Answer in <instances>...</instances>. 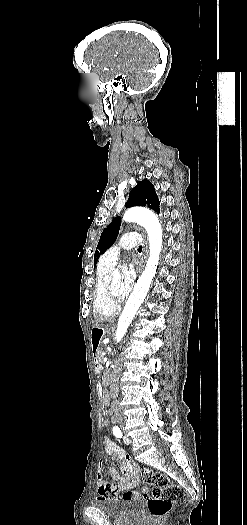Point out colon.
I'll list each match as a JSON object with an SVG mask.
<instances>
[{"label":"colon","instance_id":"5ec220e1","mask_svg":"<svg viewBox=\"0 0 247 525\" xmlns=\"http://www.w3.org/2000/svg\"><path fill=\"white\" fill-rule=\"evenodd\" d=\"M97 431L102 432L107 424L105 418L100 417L96 421ZM141 478L145 484L156 485L157 489L148 496L147 503L150 514L155 519H166L174 502L183 501L186 491L180 486L171 483L169 478L161 473L148 469L141 472Z\"/></svg>","mask_w":247,"mask_h":525}]
</instances>
